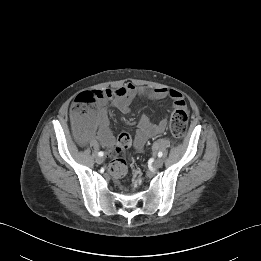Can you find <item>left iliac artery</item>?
I'll use <instances>...</instances> for the list:
<instances>
[{
  "instance_id": "left-iliac-artery-1",
  "label": "left iliac artery",
  "mask_w": 261,
  "mask_h": 261,
  "mask_svg": "<svg viewBox=\"0 0 261 261\" xmlns=\"http://www.w3.org/2000/svg\"><path fill=\"white\" fill-rule=\"evenodd\" d=\"M163 153L161 151L158 152V157H162Z\"/></svg>"
}]
</instances>
